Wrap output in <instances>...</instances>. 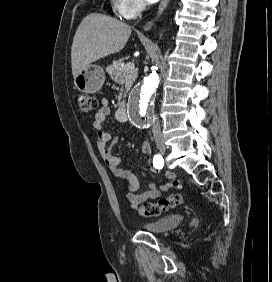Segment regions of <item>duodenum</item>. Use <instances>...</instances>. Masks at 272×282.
<instances>
[{"label":"duodenum","instance_id":"obj_1","mask_svg":"<svg viewBox=\"0 0 272 282\" xmlns=\"http://www.w3.org/2000/svg\"><path fill=\"white\" fill-rule=\"evenodd\" d=\"M126 106H127V101L125 99H123L119 104V116L121 118L125 117Z\"/></svg>","mask_w":272,"mask_h":282}]
</instances>
